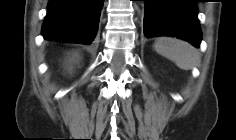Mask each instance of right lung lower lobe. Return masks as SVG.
Here are the masks:
<instances>
[{
  "instance_id": "right-lung-lower-lobe-1",
  "label": "right lung lower lobe",
  "mask_w": 236,
  "mask_h": 140,
  "mask_svg": "<svg viewBox=\"0 0 236 140\" xmlns=\"http://www.w3.org/2000/svg\"><path fill=\"white\" fill-rule=\"evenodd\" d=\"M103 0H49L42 27L45 39L91 44Z\"/></svg>"
}]
</instances>
